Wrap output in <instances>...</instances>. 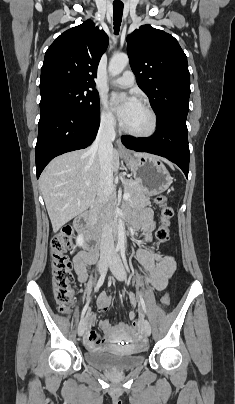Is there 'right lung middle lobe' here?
<instances>
[{"instance_id": "dd1d6c3e", "label": "right lung middle lobe", "mask_w": 235, "mask_h": 404, "mask_svg": "<svg viewBox=\"0 0 235 404\" xmlns=\"http://www.w3.org/2000/svg\"><path fill=\"white\" fill-rule=\"evenodd\" d=\"M40 92V112L56 109L75 115H88L99 109L98 93L87 87L52 82L40 85Z\"/></svg>"}]
</instances>
